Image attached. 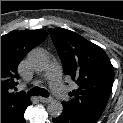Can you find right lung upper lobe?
<instances>
[{"mask_svg": "<svg viewBox=\"0 0 123 123\" xmlns=\"http://www.w3.org/2000/svg\"><path fill=\"white\" fill-rule=\"evenodd\" d=\"M48 36L47 31L14 30L1 37V118L23 112L30 99L24 93H13L17 85V67L24 56Z\"/></svg>", "mask_w": 123, "mask_h": 123, "instance_id": "right-lung-upper-lobe-1", "label": "right lung upper lobe"}]
</instances>
